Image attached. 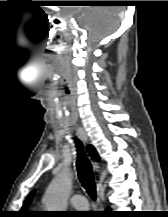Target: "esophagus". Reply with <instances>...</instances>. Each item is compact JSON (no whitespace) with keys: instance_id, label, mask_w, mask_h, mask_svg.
Returning <instances> with one entry per match:
<instances>
[{"instance_id":"1","label":"esophagus","mask_w":168,"mask_h":217,"mask_svg":"<svg viewBox=\"0 0 168 217\" xmlns=\"http://www.w3.org/2000/svg\"><path fill=\"white\" fill-rule=\"evenodd\" d=\"M77 131H78L80 137L83 139V141H84V142H87L88 139H87V134H86V132H85L81 127H79V128L77 129ZM93 167H94V170H95V171H98V169H99L98 163L94 162V163H93Z\"/></svg>"}]
</instances>
